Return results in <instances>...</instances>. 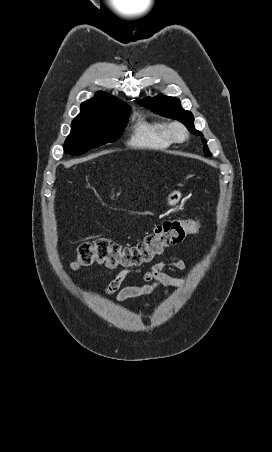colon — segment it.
Here are the masks:
<instances>
[{"instance_id":"colon-1","label":"colon","mask_w":272,"mask_h":452,"mask_svg":"<svg viewBox=\"0 0 272 452\" xmlns=\"http://www.w3.org/2000/svg\"><path fill=\"white\" fill-rule=\"evenodd\" d=\"M200 224L194 220H165L135 245H121L106 239L84 242L72 263L74 269L96 265L108 268H136L151 264L165 249L180 243L187 235L196 233Z\"/></svg>"}]
</instances>
